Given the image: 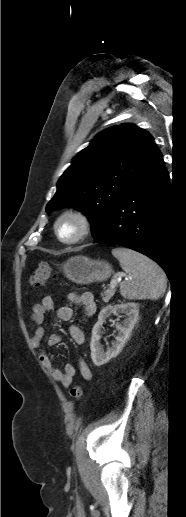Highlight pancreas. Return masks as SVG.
Returning a JSON list of instances; mask_svg holds the SVG:
<instances>
[{"mask_svg": "<svg viewBox=\"0 0 186 517\" xmlns=\"http://www.w3.org/2000/svg\"><path fill=\"white\" fill-rule=\"evenodd\" d=\"M115 289H107L104 293L101 294L102 299L105 303H107L114 295Z\"/></svg>", "mask_w": 186, "mask_h": 517, "instance_id": "obj_1", "label": "pancreas"}]
</instances>
